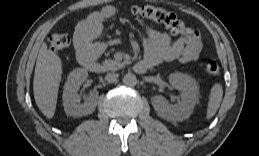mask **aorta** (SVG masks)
<instances>
[{
  "label": "aorta",
  "mask_w": 259,
  "mask_h": 156,
  "mask_svg": "<svg viewBox=\"0 0 259 156\" xmlns=\"http://www.w3.org/2000/svg\"><path fill=\"white\" fill-rule=\"evenodd\" d=\"M123 83L127 86H135L137 84V78L133 73H127L123 77Z\"/></svg>",
  "instance_id": "obj_1"
}]
</instances>
